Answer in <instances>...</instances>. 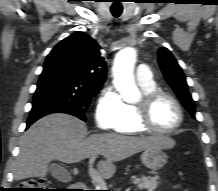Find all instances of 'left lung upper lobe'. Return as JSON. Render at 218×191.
<instances>
[{"instance_id":"left-lung-upper-lobe-1","label":"left lung upper lobe","mask_w":218,"mask_h":191,"mask_svg":"<svg viewBox=\"0 0 218 191\" xmlns=\"http://www.w3.org/2000/svg\"><path fill=\"white\" fill-rule=\"evenodd\" d=\"M158 60L166 81L179 97L182 104L191 113L192 117L195 118L194 101L188 91V85L184 73L176 59L167 48H160L158 52Z\"/></svg>"}]
</instances>
